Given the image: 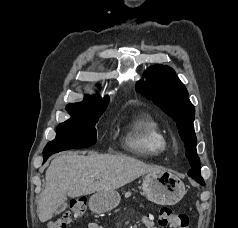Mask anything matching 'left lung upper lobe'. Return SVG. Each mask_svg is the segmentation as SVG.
<instances>
[{"instance_id":"1","label":"left lung upper lobe","mask_w":238,"mask_h":228,"mask_svg":"<svg viewBox=\"0 0 238 228\" xmlns=\"http://www.w3.org/2000/svg\"><path fill=\"white\" fill-rule=\"evenodd\" d=\"M144 75L146 81H139L136 91L152 100L177 122L180 137L185 143L186 157L191 166L188 175L201 177L193 125L195 108L188 98L185 86L178 79L174 70L168 66L149 67Z\"/></svg>"}]
</instances>
